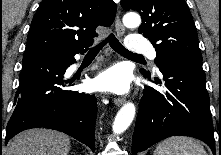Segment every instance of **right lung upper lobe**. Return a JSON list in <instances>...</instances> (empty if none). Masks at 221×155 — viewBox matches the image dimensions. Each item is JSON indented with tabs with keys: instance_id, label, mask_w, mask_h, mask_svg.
<instances>
[{
	"instance_id": "cb5924a9",
	"label": "right lung upper lobe",
	"mask_w": 221,
	"mask_h": 155,
	"mask_svg": "<svg viewBox=\"0 0 221 155\" xmlns=\"http://www.w3.org/2000/svg\"><path fill=\"white\" fill-rule=\"evenodd\" d=\"M117 6L112 0H43L27 37L24 56L42 51L86 52L98 26H110Z\"/></svg>"
}]
</instances>
